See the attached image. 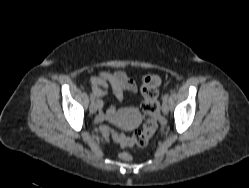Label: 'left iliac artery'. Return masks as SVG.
Returning <instances> with one entry per match:
<instances>
[{
	"label": "left iliac artery",
	"mask_w": 249,
	"mask_h": 188,
	"mask_svg": "<svg viewBox=\"0 0 249 188\" xmlns=\"http://www.w3.org/2000/svg\"><path fill=\"white\" fill-rule=\"evenodd\" d=\"M168 98H169V93H166V94L163 96V101L167 102V101H168Z\"/></svg>",
	"instance_id": "obj_1"
}]
</instances>
